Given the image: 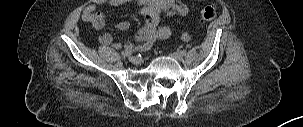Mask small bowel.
Listing matches in <instances>:
<instances>
[{"instance_id": "1", "label": "small bowel", "mask_w": 303, "mask_h": 127, "mask_svg": "<svg viewBox=\"0 0 303 127\" xmlns=\"http://www.w3.org/2000/svg\"><path fill=\"white\" fill-rule=\"evenodd\" d=\"M132 1L137 3L139 13L146 19L145 25L136 35L138 43L114 42L111 34L103 33L99 38L102 45L112 46L117 50L123 48L124 51H147L156 41L165 39V33L168 35L170 33L167 26H160L162 16H185L188 13V7L179 0H97L85 8L83 18L91 23L95 29H101L105 25V16L99 11L100 7H117ZM116 26L121 31H127L130 28V23L122 21Z\"/></svg>"}]
</instances>
